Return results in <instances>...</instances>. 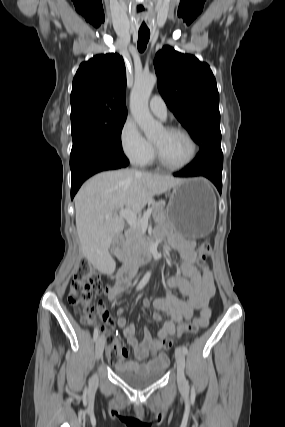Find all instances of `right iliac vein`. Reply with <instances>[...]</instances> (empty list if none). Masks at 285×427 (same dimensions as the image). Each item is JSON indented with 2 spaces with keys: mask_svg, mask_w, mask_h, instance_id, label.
Segmentation results:
<instances>
[{
  "mask_svg": "<svg viewBox=\"0 0 285 427\" xmlns=\"http://www.w3.org/2000/svg\"><path fill=\"white\" fill-rule=\"evenodd\" d=\"M104 346H105V337H104V335H101L98 338V340L96 342V347H95L96 358L98 360L102 357Z\"/></svg>",
  "mask_w": 285,
  "mask_h": 427,
  "instance_id": "right-iliac-vein-1",
  "label": "right iliac vein"
}]
</instances>
